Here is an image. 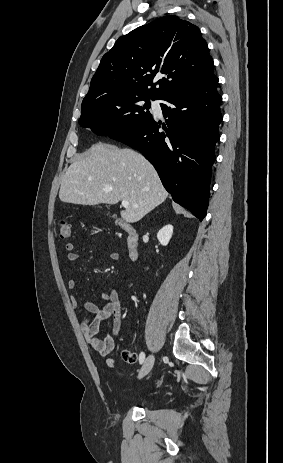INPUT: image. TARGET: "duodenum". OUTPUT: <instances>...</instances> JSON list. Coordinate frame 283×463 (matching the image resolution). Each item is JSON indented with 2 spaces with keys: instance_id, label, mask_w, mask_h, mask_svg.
Here are the masks:
<instances>
[{
  "instance_id": "410a0bca",
  "label": "duodenum",
  "mask_w": 283,
  "mask_h": 463,
  "mask_svg": "<svg viewBox=\"0 0 283 463\" xmlns=\"http://www.w3.org/2000/svg\"><path fill=\"white\" fill-rule=\"evenodd\" d=\"M119 227L127 233V245L129 249V256L130 259L136 261L139 256L138 252V233L135 227L125 221H121L118 223Z\"/></svg>"
}]
</instances>
